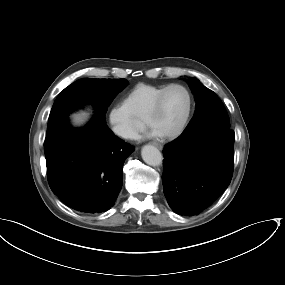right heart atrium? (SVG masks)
Returning a JSON list of instances; mask_svg holds the SVG:
<instances>
[{"mask_svg": "<svg viewBox=\"0 0 285 285\" xmlns=\"http://www.w3.org/2000/svg\"><path fill=\"white\" fill-rule=\"evenodd\" d=\"M110 130L123 140H133L145 125L135 118L124 103L111 105L106 113Z\"/></svg>", "mask_w": 285, "mask_h": 285, "instance_id": "1", "label": "right heart atrium"}]
</instances>
